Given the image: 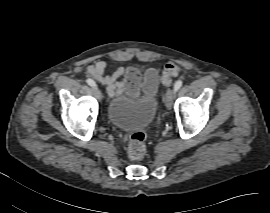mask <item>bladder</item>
Returning a JSON list of instances; mask_svg holds the SVG:
<instances>
[{"instance_id":"obj_1","label":"bladder","mask_w":270,"mask_h":213,"mask_svg":"<svg viewBox=\"0 0 270 213\" xmlns=\"http://www.w3.org/2000/svg\"><path fill=\"white\" fill-rule=\"evenodd\" d=\"M158 101L155 94L133 100L122 92L106 105V117L115 127L130 132L149 128L155 121Z\"/></svg>"}]
</instances>
